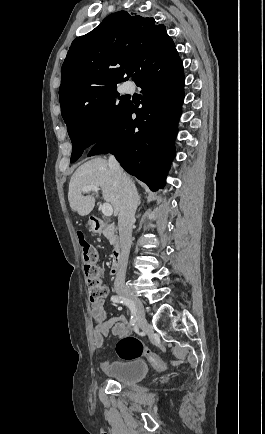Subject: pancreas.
I'll list each match as a JSON object with an SVG mask.
<instances>
[{
    "label": "pancreas",
    "mask_w": 265,
    "mask_h": 434,
    "mask_svg": "<svg viewBox=\"0 0 265 434\" xmlns=\"http://www.w3.org/2000/svg\"><path fill=\"white\" fill-rule=\"evenodd\" d=\"M115 238H116V236H112V238H110L109 242H110L111 246H116L117 242H115Z\"/></svg>",
    "instance_id": "obj_1"
}]
</instances>
